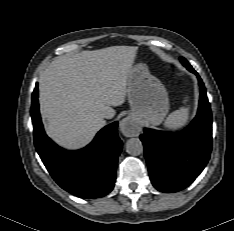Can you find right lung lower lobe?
Here are the masks:
<instances>
[{
	"mask_svg": "<svg viewBox=\"0 0 234 231\" xmlns=\"http://www.w3.org/2000/svg\"><path fill=\"white\" fill-rule=\"evenodd\" d=\"M38 105V84L32 95L31 116L34 143L53 179L66 191L81 198H98L114 187L116 165L122 150L117 122L98 132L94 140L78 151H67L49 139L43 129Z\"/></svg>",
	"mask_w": 234,
	"mask_h": 231,
	"instance_id": "obj_1",
	"label": "right lung lower lobe"
}]
</instances>
